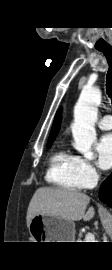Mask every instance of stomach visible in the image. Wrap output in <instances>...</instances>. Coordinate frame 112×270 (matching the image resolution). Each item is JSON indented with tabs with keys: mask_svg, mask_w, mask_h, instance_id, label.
<instances>
[{
	"mask_svg": "<svg viewBox=\"0 0 112 270\" xmlns=\"http://www.w3.org/2000/svg\"><path fill=\"white\" fill-rule=\"evenodd\" d=\"M28 229L34 242H74L75 239L74 222L59 217L36 215Z\"/></svg>",
	"mask_w": 112,
	"mask_h": 270,
	"instance_id": "1",
	"label": "stomach"
}]
</instances>
